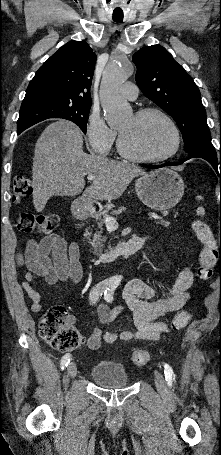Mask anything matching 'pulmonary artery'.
I'll list each match as a JSON object with an SVG mask.
<instances>
[{"label": "pulmonary artery", "mask_w": 221, "mask_h": 455, "mask_svg": "<svg viewBox=\"0 0 221 455\" xmlns=\"http://www.w3.org/2000/svg\"><path fill=\"white\" fill-rule=\"evenodd\" d=\"M120 93L128 100H135L138 96V88L132 82H125L120 88Z\"/></svg>", "instance_id": "e3ab8cb5"}]
</instances>
